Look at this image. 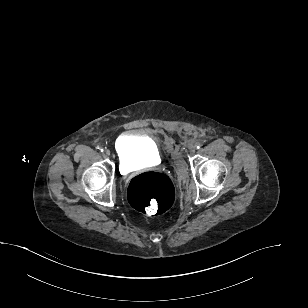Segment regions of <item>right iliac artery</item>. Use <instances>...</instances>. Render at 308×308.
Listing matches in <instances>:
<instances>
[{"instance_id":"right-iliac-artery-1","label":"right iliac artery","mask_w":308,"mask_h":308,"mask_svg":"<svg viewBox=\"0 0 308 308\" xmlns=\"http://www.w3.org/2000/svg\"><path fill=\"white\" fill-rule=\"evenodd\" d=\"M98 149H99L101 152H103V151H104V149H103V148L98 147Z\"/></svg>"}]
</instances>
